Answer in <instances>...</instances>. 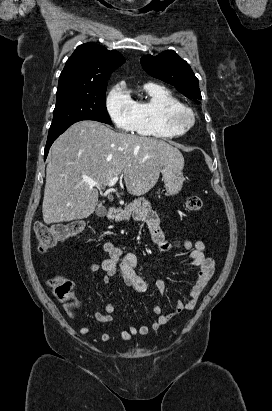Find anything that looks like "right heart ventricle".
<instances>
[{
	"mask_svg": "<svg viewBox=\"0 0 272 411\" xmlns=\"http://www.w3.org/2000/svg\"><path fill=\"white\" fill-rule=\"evenodd\" d=\"M145 98L133 101L135 124L133 131L141 136L173 138L178 136L165 123V112L171 107H186L168 88L147 83L144 85Z\"/></svg>",
	"mask_w": 272,
	"mask_h": 411,
	"instance_id": "obj_1",
	"label": "right heart ventricle"
}]
</instances>
